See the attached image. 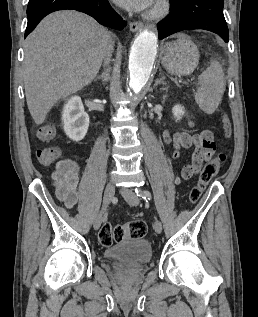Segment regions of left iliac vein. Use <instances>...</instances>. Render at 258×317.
<instances>
[{
    "label": "left iliac vein",
    "mask_w": 258,
    "mask_h": 317,
    "mask_svg": "<svg viewBox=\"0 0 258 317\" xmlns=\"http://www.w3.org/2000/svg\"><path fill=\"white\" fill-rule=\"evenodd\" d=\"M121 194L124 196V199L126 202H128V204L134 203L136 206V204H138L140 201V199H139L140 196L137 195L135 192H133L130 188H122ZM153 225H154V230L158 234L163 230V226H162L160 220H155Z\"/></svg>",
    "instance_id": "obj_1"
}]
</instances>
